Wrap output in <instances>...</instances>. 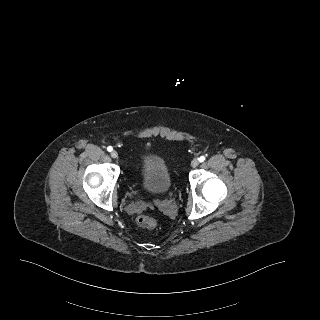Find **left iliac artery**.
Returning <instances> with one entry per match:
<instances>
[{
    "mask_svg": "<svg viewBox=\"0 0 320 320\" xmlns=\"http://www.w3.org/2000/svg\"><path fill=\"white\" fill-rule=\"evenodd\" d=\"M205 160V156H201L200 158H199V161L200 162H203Z\"/></svg>",
    "mask_w": 320,
    "mask_h": 320,
    "instance_id": "44dca946",
    "label": "left iliac artery"
}]
</instances>
